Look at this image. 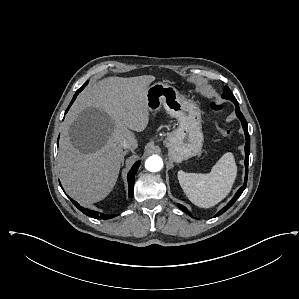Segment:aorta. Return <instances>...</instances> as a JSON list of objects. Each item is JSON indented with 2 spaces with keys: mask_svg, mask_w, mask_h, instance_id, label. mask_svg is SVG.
Segmentation results:
<instances>
[{
  "mask_svg": "<svg viewBox=\"0 0 299 299\" xmlns=\"http://www.w3.org/2000/svg\"><path fill=\"white\" fill-rule=\"evenodd\" d=\"M145 168L150 172H158L163 168V160L157 155H152L145 161Z\"/></svg>",
  "mask_w": 299,
  "mask_h": 299,
  "instance_id": "1",
  "label": "aorta"
}]
</instances>
